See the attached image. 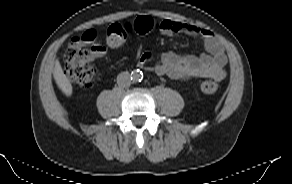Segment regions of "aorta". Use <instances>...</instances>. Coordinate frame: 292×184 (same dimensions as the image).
Listing matches in <instances>:
<instances>
[{
  "label": "aorta",
  "mask_w": 292,
  "mask_h": 184,
  "mask_svg": "<svg viewBox=\"0 0 292 184\" xmlns=\"http://www.w3.org/2000/svg\"><path fill=\"white\" fill-rule=\"evenodd\" d=\"M142 77H143V74L141 72H139V71H134L131 74V80L133 82L141 81L142 80Z\"/></svg>",
  "instance_id": "762f6f07"
}]
</instances>
